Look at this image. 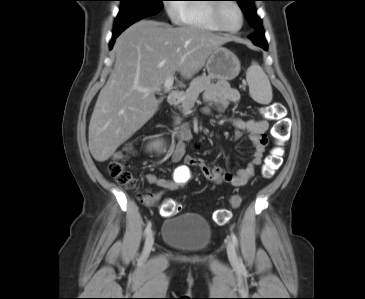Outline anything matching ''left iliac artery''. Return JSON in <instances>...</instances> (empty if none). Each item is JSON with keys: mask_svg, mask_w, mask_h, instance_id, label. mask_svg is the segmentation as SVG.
Masks as SVG:
<instances>
[{"mask_svg": "<svg viewBox=\"0 0 365 299\" xmlns=\"http://www.w3.org/2000/svg\"><path fill=\"white\" fill-rule=\"evenodd\" d=\"M231 238H232L233 243L237 247L238 246V240H237L236 235L233 232L231 233Z\"/></svg>", "mask_w": 365, "mask_h": 299, "instance_id": "44dca946", "label": "left iliac artery"}]
</instances>
